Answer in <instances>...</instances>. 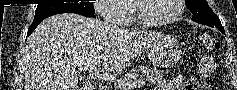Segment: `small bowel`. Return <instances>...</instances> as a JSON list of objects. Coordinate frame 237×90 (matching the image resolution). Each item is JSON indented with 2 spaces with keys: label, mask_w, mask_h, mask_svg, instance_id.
I'll return each mask as SVG.
<instances>
[{
  "label": "small bowel",
  "mask_w": 237,
  "mask_h": 90,
  "mask_svg": "<svg viewBox=\"0 0 237 90\" xmlns=\"http://www.w3.org/2000/svg\"><path fill=\"white\" fill-rule=\"evenodd\" d=\"M213 70V64L203 63L197 77L186 80L180 75H175L169 79H162L157 83L155 90H199L201 80L206 79Z\"/></svg>",
  "instance_id": "1"
}]
</instances>
